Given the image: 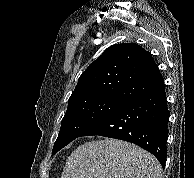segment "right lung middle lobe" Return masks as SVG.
Here are the masks:
<instances>
[{"mask_svg":"<svg viewBox=\"0 0 194 178\" xmlns=\"http://www.w3.org/2000/svg\"><path fill=\"white\" fill-rule=\"evenodd\" d=\"M125 101L113 98H86L68 103L62 119L60 132L55 141L52 155L113 112Z\"/></svg>","mask_w":194,"mask_h":178,"instance_id":"right-lung-middle-lobe-1","label":"right lung middle lobe"}]
</instances>
